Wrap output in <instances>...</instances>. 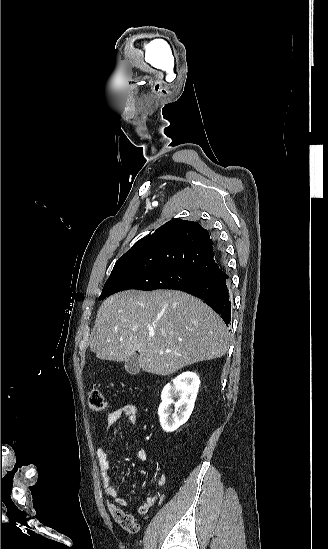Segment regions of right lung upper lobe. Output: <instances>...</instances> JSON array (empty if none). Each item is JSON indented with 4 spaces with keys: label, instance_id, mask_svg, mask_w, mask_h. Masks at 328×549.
<instances>
[{
    "label": "right lung upper lobe",
    "instance_id": "1",
    "mask_svg": "<svg viewBox=\"0 0 328 549\" xmlns=\"http://www.w3.org/2000/svg\"><path fill=\"white\" fill-rule=\"evenodd\" d=\"M222 264L215 239L208 230L197 222L172 219L137 241L118 259L112 272L147 265L181 268L213 278L222 272Z\"/></svg>",
    "mask_w": 328,
    "mask_h": 549
}]
</instances>
